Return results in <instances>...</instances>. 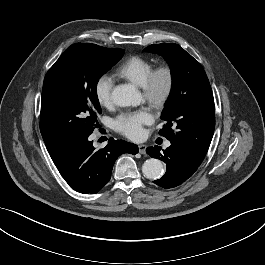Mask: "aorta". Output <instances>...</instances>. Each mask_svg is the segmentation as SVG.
<instances>
[{
	"label": "aorta",
	"mask_w": 265,
	"mask_h": 265,
	"mask_svg": "<svg viewBox=\"0 0 265 265\" xmlns=\"http://www.w3.org/2000/svg\"><path fill=\"white\" fill-rule=\"evenodd\" d=\"M112 100L117 106L128 107L139 105L142 97L140 92L133 85L122 84L113 89ZM142 172L148 179H159L164 173L163 164L158 159L150 158L144 162Z\"/></svg>",
	"instance_id": "1"
}]
</instances>
